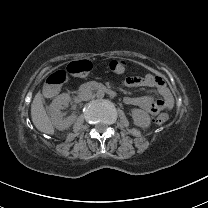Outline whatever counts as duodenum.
I'll use <instances>...</instances> for the list:
<instances>
[{
    "instance_id": "obj_1",
    "label": "duodenum",
    "mask_w": 208,
    "mask_h": 208,
    "mask_svg": "<svg viewBox=\"0 0 208 208\" xmlns=\"http://www.w3.org/2000/svg\"><path fill=\"white\" fill-rule=\"evenodd\" d=\"M80 90L81 91L98 90V91H103L111 96L115 95V92L112 89H110V88L106 87L105 85L98 83V82L85 83L80 87Z\"/></svg>"
}]
</instances>
